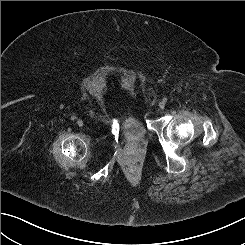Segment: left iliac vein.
<instances>
[{
	"instance_id": "4c4485c4",
	"label": "left iliac vein",
	"mask_w": 245,
	"mask_h": 245,
	"mask_svg": "<svg viewBox=\"0 0 245 245\" xmlns=\"http://www.w3.org/2000/svg\"><path fill=\"white\" fill-rule=\"evenodd\" d=\"M159 107H160L161 109H164L165 103H164V102H160V103H159Z\"/></svg>"
}]
</instances>
